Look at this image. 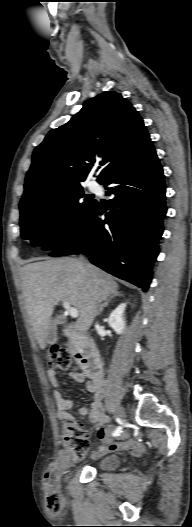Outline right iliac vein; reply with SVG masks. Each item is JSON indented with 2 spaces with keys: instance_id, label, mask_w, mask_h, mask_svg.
<instances>
[{
  "instance_id": "right-iliac-vein-1",
  "label": "right iliac vein",
  "mask_w": 192,
  "mask_h": 527,
  "mask_svg": "<svg viewBox=\"0 0 192 527\" xmlns=\"http://www.w3.org/2000/svg\"><path fill=\"white\" fill-rule=\"evenodd\" d=\"M117 415H118V417H119L120 419L123 418V417L125 416V411H124V409H123L122 407H119V408L117 409Z\"/></svg>"
}]
</instances>
